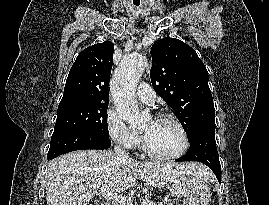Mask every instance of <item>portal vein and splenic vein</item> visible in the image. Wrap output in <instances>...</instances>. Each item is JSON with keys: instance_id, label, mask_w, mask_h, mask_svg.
<instances>
[{"instance_id": "portal-vein-and-splenic-vein-1", "label": "portal vein and splenic vein", "mask_w": 269, "mask_h": 205, "mask_svg": "<svg viewBox=\"0 0 269 205\" xmlns=\"http://www.w3.org/2000/svg\"><path fill=\"white\" fill-rule=\"evenodd\" d=\"M99 194L107 200H112L120 205H133L130 197L119 195L110 191L109 186L102 185ZM149 203V201H145Z\"/></svg>"}]
</instances>
